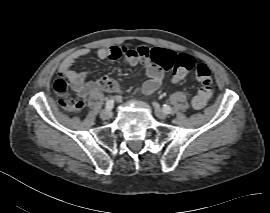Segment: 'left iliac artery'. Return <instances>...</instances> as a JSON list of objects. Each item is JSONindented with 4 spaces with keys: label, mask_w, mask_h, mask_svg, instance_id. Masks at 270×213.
<instances>
[{
    "label": "left iliac artery",
    "mask_w": 270,
    "mask_h": 213,
    "mask_svg": "<svg viewBox=\"0 0 270 213\" xmlns=\"http://www.w3.org/2000/svg\"><path fill=\"white\" fill-rule=\"evenodd\" d=\"M163 111H164V113H166V114H170L171 111H172V109H171V107H170L169 105L164 104V105H163Z\"/></svg>",
    "instance_id": "1"
}]
</instances>
